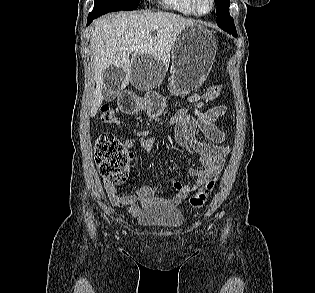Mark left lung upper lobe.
I'll return each instance as SVG.
<instances>
[{"label": "left lung upper lobe", "instance_id": "1", "mask_svg": "<svg viewBox=\"0 0 315 293\" xmlns=\"http://www.w3.org/2000/svg\"><path fill=\"white\" fill-rule=\"evenodd\" d=\"M215 2L217 4V25L234 37H237L234 20L229 14L230 0H215Z\"/></svg>", "mask_w": 315, "mask_h": 293}]
</instances>
